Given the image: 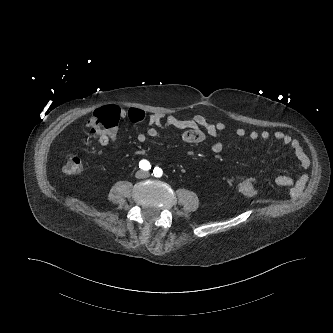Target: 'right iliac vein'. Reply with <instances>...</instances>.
<instances>
[{"mask_svg":"<svg viewBox=\"0 0 333 333\" xmlns=\"http://www.w3.org/2000/svg\"><path fill=\"white\" fill-rule=\"evenodd\" d=\"M145 176V172L143 170H139L137 173H136V177L137 178H143Z\"/></svg>","mask_w":333,"mask_h":333,"instance_id":"right-iliac-vein-1","label":"right iliac vein"}]
</instances>
